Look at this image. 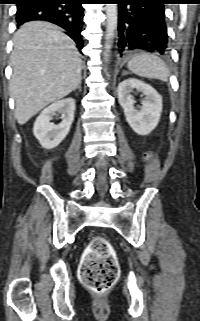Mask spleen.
<instances>
[{"instance_id":"obj_1","label":"spleen","mask_w":200,"mask_h":321,"mask_svg":"<svg viewBox=\"0 0 200 321\" xmlns=\"http://www.w3.org/2000/svg\"><path fill=\"white\" fill-rule=\"evenodd\" d=\"M127 67L134 74L145 78L167 81L170 75L166 63L149 53L135 55L129 60Z\"/></svg>"}]
</instances>
